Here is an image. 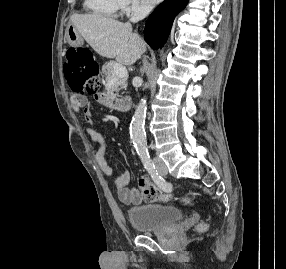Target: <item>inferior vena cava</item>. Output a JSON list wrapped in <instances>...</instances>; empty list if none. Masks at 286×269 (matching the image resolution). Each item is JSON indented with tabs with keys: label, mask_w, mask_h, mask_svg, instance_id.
Wrapping results in <instances>:
<instances>
[{
	"label": "inferior vena cava",
	"mask_w": 286,
	"mask_h": 269,
	"mask_svg": "<svg viewBox=\"0 0 286 269\" xmlns=\"http://www.w3.org/2000/svg\"><path fill=\"white\" fill-rule=\"evenodd\" d=\"M152 7L153 6L151 4L139 5L135 7L132 17L130 18V21L136 23L144 19L151 11Z\"/></svg>",
	"instance_id": "1"
}]
</instances>
